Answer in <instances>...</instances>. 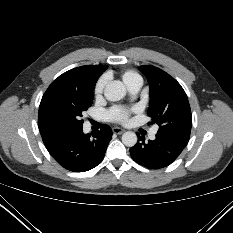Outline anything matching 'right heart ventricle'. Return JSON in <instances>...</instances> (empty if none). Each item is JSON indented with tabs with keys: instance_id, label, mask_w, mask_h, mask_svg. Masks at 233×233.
Returning <instances> with one entry per match:
<instances>
[{
	"instance_id": "right-heart-ventricle-1",
	"label": "right heart ventricle",
	"mask_w": 233,
	"mask_h": 233,
	"mask_svg": "<svg viewBox=\"0 0 233 233\" xmlns=\"http://www.w3.org/2000/svg\"><path fill=\"white\" fill-rule=\"evenodd\" d=\"M122 79L124 81V83L129 86L131 83H133L134 81L141 79V77L139 76L138 73H136L133 70H125L122 73Z\"/></svg>"
}]
</instances>
